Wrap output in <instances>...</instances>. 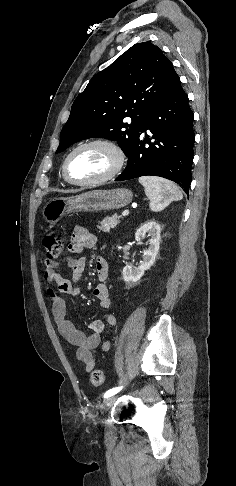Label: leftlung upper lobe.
Instances as JSON below:
<instances>
[{
    "label": "left lung upper lobe",
    "mask_w": 236,
    "mask_h": 486,
    "mask_svg": "<svg viewBox=\"0 0 236 486\" xmlns=\"http://www.w3.org/2000/svg\"><path fill=\"white\" fill-rule=\"evenodd\" d=\"M178 79L160 48L150 42L133 45L93 76L75 99L56 153L80 140L101 137L118 141L128 157L151 110Z\"/></svg>",
    "instance_id": "obj_1"
}]
</instances>
